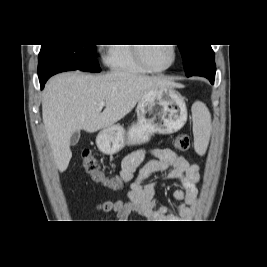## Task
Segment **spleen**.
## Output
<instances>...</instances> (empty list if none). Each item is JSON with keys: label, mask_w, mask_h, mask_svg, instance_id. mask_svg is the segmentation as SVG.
<instances>
[{"label": "spleen", "mask_w": 267, "mask_h": 267, "mask_svg": "<svg viewBox=\"0 0 267 267\" xmlns=\"http://www.w3.org/2000/svg\"><path fill=\"white\" fill-rule=\"evenodd\" d=\"M211 132V117L206 109L194 115L193 134L194 147L199 154H204Z\"/></svg>", "instance_id": "obj_1"}]
</instances>
